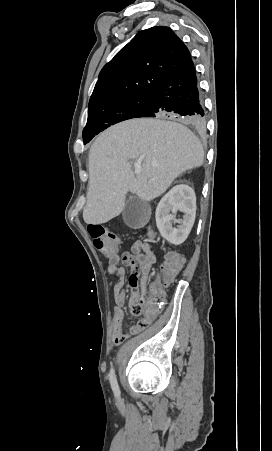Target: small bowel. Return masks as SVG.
Wrapping results in <instances>:
<instances>
[{
	"label": "small bowel",
	"instance_id": "1",
	"mask_svg": "<svg viewBox=\"0 0 272 451\" xmlns=\"http://www.w3.org/2000/svg\"><path fill=\"white\" fill-rule=\"evenodd\" d=\"M130 252H137L138 256H144L145 261H151L152 268L156 264L157 257L155 252L152 250L150 244L148 242L144 241H137L131 246ZM151 268V269H152ZM151 270H148L147 274H132L130 273L128 279L126 278V269L123 274H115L113 270H109V267L107 266V273L109 275H113L117 278V282L113 287V299H114V306H113V325L116 330H119L120 332H124L123 325L125 321V312H124V304L126 300V292L124 290V285L126 281L128 282L130 293H131V299H130V308H132V304L134 300L137 299V295H140L139 293V286H145L148 282L149 273ZM132 312V309H131ZM134 315H141L143 314L145 317L146 313H133Z\"/></svg>",
	"mask_w": 272,
	"mask_h": 451
}]
</instances>
